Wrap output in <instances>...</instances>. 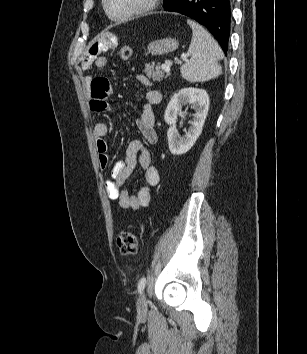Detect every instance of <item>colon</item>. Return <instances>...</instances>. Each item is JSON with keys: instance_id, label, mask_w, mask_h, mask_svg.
Returning <instances> with one entry per match:
<instances>
[{"instance_id": "5ec220e1", "label": "colon", "mask_w": 307, "mask_h": 354, "mask_svg": "<svg viewBox=\"0 0 307 354\" xmlns=\"http://www.w3.org/2000/svg\"><path fill=\"white\" fill-rule=\"evenodd\" d=\"M132 48L128 45L122 46L120 56L123 60H129L132 57ZM117 244L122 254L134 255L138 250V240L134 233L122 231L117 236Z\"/></svg>"}]
</instances>
